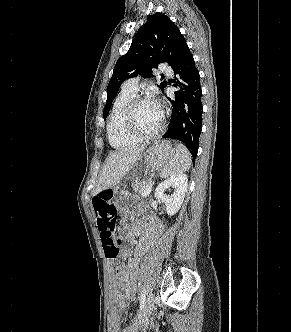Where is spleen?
Segmentation results:
<instances>
[{
  "mask_svg": "<svg viewBox=\"0 0 291 332\" xmlns=\"http://www.w3.org/2000/svg\"><path fill=\"white\" fill-rule=\"evenodd\" d=\"M191 155L189 150L183 144H177V154L163 167L160 172L161 178H168L189 170L191 166Z\"/></svg>",
  "mask_w": 291,
  "mask_h": 332,
  "instance_id": "spleen-1",
  "label": "spleen"
}]
</instances>
